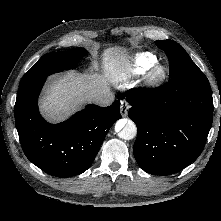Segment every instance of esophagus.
Listing matches in <instances>:
<instances>
[{
    "instance_id": "obj_1",
    "label": "esophagus",
    "mask_w": 221,
    "mask_h": 221,
    "mask_svg": "<svg viewBox=\"0 0 221 221\" xmlns=\"http://www.w3.org/2000/svg\"><path fill=\"white\" fill-rule=\"evenodd\" d=\"M129 110V103L126 100H121L120 113L123 117L127 116Z\"/></svg>"
}]
</instances>
